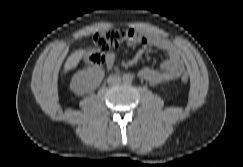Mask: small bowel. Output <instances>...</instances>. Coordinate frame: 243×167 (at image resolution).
Masks as SVG:
<instances>
[{
  "instance_id": "small-bowel-1",
  "label": "small bowel",
  "mask_w": 243,
  "mask_h": 167,
  "mask_svg": "<svg viewBox=\"0 0 243 167\" xmlns=\"http://www.w3.org/2000/svg\"><path fill=\"white\" fill-rule=\"evenodd\" d=\"M131 37L127 41L128 47L137 45L153 46L163 51L167 58L158 69L144 67L139 71V76L150 83L157 85L173 81L181 76L185 70L184 61L180 50L168 39L141 29H130ZM116 61V53L110 51L106 54V66L111 68Z\"/></svg>"
}]
</instances>
